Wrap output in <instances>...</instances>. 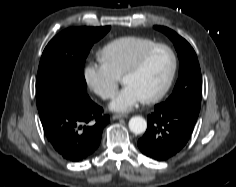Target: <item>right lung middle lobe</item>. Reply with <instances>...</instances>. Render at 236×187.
<instances>
[{"mask_svg":"<svg viewBox=\"0 0 236 187\" xmlns=\"http://www.w3.org/2000/svg\"><path fill=\"white\" fill-rule=\"evenodd\" d=\"M110 26L69 28L56 35L43 51L37 78V108L42 117L60 93L86 94L84 64L92 45Z\"/></svg>","mask_w":236,"mask_h":187,"instance_id":"1","label":"right lung middle lobe"}]
</instances>
